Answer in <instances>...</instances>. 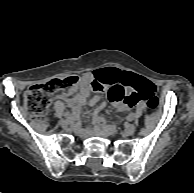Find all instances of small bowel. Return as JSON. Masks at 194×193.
Here are the masks:
<instances>
[{"instance_id":"c3829d8e","label":"small bowel","mask_w":194,"mask_h":193,"mask_svg":"<svg viewBox=\"0 0 194 193\" xmlns=\"http://www.w3.org/2000/svg\"><path fill=\"white\" fill-rule=\"evenodd\" d=\"M123 72L117 68H103L87 72L82 75L78 84V93L68 96L61 94L67 104L71 107L74 113L79 111L85 106H96L93 122L97 127H101L104 135H111L115 131V127L106 123V119L99 115V112L105 107V102L102 97L95 93L94 88L102 85L105 81L111 79H119ZM129 93H141L144 97L152 92L151 84L143 78H139V82L134 86L126 87ZM127 108L122 105L116 106L117 112H123Z\"/></svg>"}]
</instances>
